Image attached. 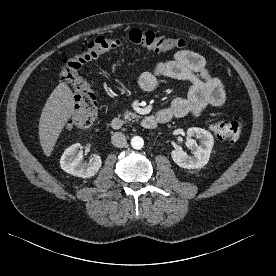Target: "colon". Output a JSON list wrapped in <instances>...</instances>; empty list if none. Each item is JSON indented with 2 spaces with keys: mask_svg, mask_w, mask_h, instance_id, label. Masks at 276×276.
Masks as SVG:
<instances>
[{
  "mask_svg": "<svg viewBox=\"0 0 276 276\" xmlns=\"http://www.w3.org/2000/svg\"><path fill=\"white\" fill-rule=\"evenodd\" d=\"M128 46H140L149 50L164 52L184 46L179 38L156 34L150 30L131 29L125 36L111 38L100 36L88 42L82 49L64 58L60 77L66 82L73 99V112L68 126L85 128L92 125L97 117L98 104L96 96L88 82L80 76L81 66L106 53ZM239 120H222L211 124L210 129L218 138L236 140L243 131Z\"/></svg>",
  "mask_w": 276,
  "mask_h": 276,
  "instance_id": "obj_1",
  "label": "colon"
}]
</instances>
